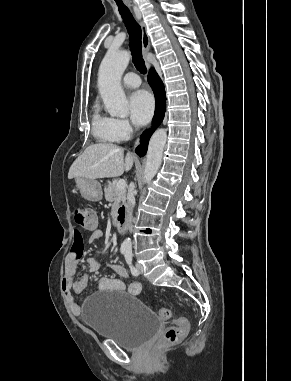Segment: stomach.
I'll return each instance as SVG.
<instances>
[{"label": "stomach", "mask_w": 291, "mask_h": 381, "mask_svg": "<svg viewBox=\"0 0 291 381\" xmlns=\"http://www.w3.org/2000/svg\"><path fill=\"white\" fill-rule=\"evenodd\" d=\"M76 184L81 195L89 201H100L103 197L101 185L98 181L83 177L76 178Z\"/></svg>", "instance_id": "stomach-1"}]
</instances>
